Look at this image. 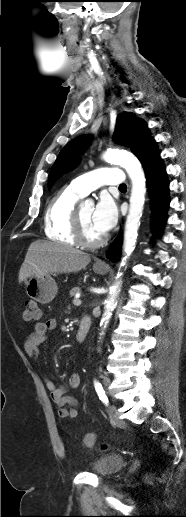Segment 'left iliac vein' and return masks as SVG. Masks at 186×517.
Instances as JSON below:
<instances>
[{
    "label": "left iliac vein",
    "instance_id": "obj_1",
    "mask_svg": "<svg viewBox=\"0 0 186 517\" xmlns=\"http://www.w3.org/2000/svg\"><path fill=\"white\" fill-rule=\"evenodd\" d=\"M107 412L114 422H117V423L120 422L119 412L115 405H109L107 407Z\"/></svg>",
    "mask_w": 186,
    "mask_h": 517
}]
</instances>
